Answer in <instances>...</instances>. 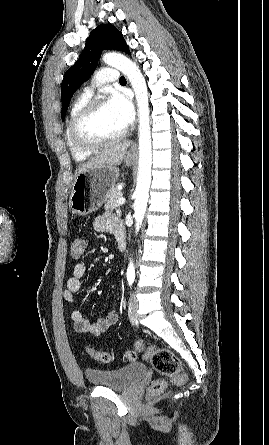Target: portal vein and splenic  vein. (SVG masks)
Here are the masks:
<instances>
[{
  "label": "portal vein and splenic vein",
  "mask_w": 269,
  "mask_h": 445,
  "mask_svg": "<svg viewBox=\"0 0 269 445\" xmlns=\"http://www.w3.org/2000/svg\"><path fill=\"white\" fill-rule=\"evenodd\" d=\"M118 203H119L120 205L124 204V203H125V198H123V197L119 198V199H118Z\"/></svg>",
  "instance_id": "obj_1"
}]
</instances>
